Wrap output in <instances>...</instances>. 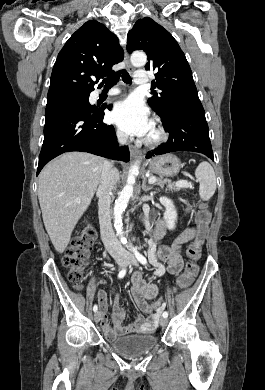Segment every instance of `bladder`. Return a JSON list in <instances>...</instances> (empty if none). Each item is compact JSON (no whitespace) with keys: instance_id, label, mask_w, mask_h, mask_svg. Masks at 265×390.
<instances>
[{"instance_id":"bladder-1","label":"bladder","mask_w":265,"mask_h":390,"mask_svg":"<svg viewBox=\"0 0 265 390\" xmlns=\"http://www.w3.org/2000/svg\"><path fill=\"white\" fill-rule=\"evenodd\" d=\"M109 344L120 355L137 358L149 353L157 345V338L154 335H117L109 339Z\"/></svg>"}]
</instances>
